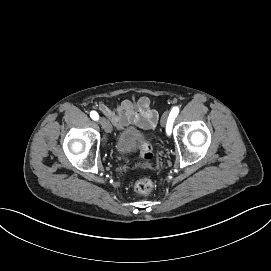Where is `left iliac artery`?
<instances>
[{"mask_svg":"<svg viewBox=\"0 0 271 271\" xmlns=\"http://www.w3.org/2000/svg\"><path fill=\"white\" fill-rule=\"evenodd\" d=\"M179 113V108L176 106V107H173L171 112H170V115L168 117V121H167V125H166V135H171L172 133V130H173V122H174V119L176 118V116L178 115Z\"/></svg>","mask_w":271,"mask_h":271,"instance_id":"left-iliac-artery-1","label":"left iliac artery"}]
</instances>
